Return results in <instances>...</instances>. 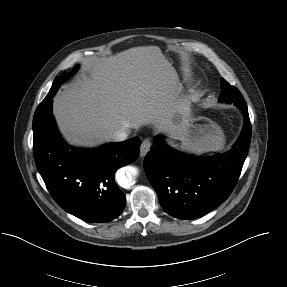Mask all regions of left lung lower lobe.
<instances>
[{"instance_id": "obj_1", "label": "left lung lower lobe", "mask_w": 287, "mask_h": 287, "mask_svg": "<svg viewBox=\"0 0 287 287\" xmlns=\"http://www.w3.org/2000/svg\"><path fill=\"white\" fill-rule=\"evenodd\" d=\"M244 127L232 149L212 157H194L173 150L159 136L145 157L144 168L163 210L189 220L209 213L231 194L247 157L251 123L246 103L238 104Z\"/></svg>"}]
</instances>
